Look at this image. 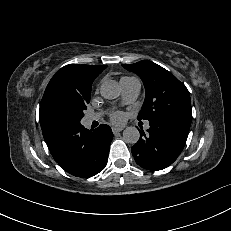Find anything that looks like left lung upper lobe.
<instances>
[{
	"label": "left lung upper lobe",
	"mask_w": 231,
	"mask_h": 231,
	"mask_svg": "<svg viewBox=\"0 0 231 231\" xmlns=\"http://www.w3.org/2000/svg\"><path fill=\"white\" fill-rule=\"evenodd\" d=\"M143 81L146 97L138 120L155 117H174L191 122V101L186 86L163 67L147 60L135 64H122Z\"/></svg>",
	"instance_id": "1"
}]
</instances>
